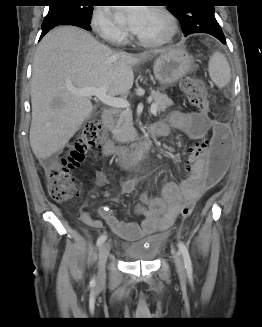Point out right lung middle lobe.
<instances>
[{
	"instance_id": "1",
	"label": "right lung middle lobe",
	"mask_w": 262,
	"mask_h": 327,
	"mask_svg": "<svg viewBox=\"0 0 262 327\" xmlns=\"http://www.w3.org/2000/svg\"><path fill=\"white\" fill-rule=\"evenodd\" d=\"M63 1H69V2L66 5L50 6L49 12L45 17L44 21H48L59 17H76L85 21L91 20L93 6L76 5L72 2L74 0H63Z\"/></svg>"
}]
</instances>
